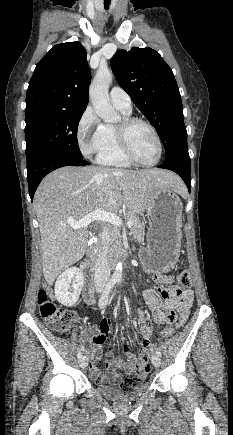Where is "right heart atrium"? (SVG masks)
Wrapping results in <instances>:
<instances>
[{"label": "right heart atrium", "instance_id": "d8ad5b80", "mask_svg": "<svg viewBox=\"0 0 233 435\" xmlns=\"http://www.w3.org/2000/svg\"><path fill=\"white\" fill-rule=\"evenodd\" d=\"M77 140L87 157L99 154L103 147V124L92 108H87L78 122Z\"/></svg>", "mask_w": 233, "mask_h": 435}]
</instances>
